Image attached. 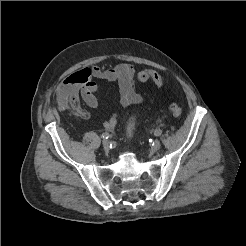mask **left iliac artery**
<instances>
[{"instance_id": "44dca946", "label": "left iliac artery", "mask_w": 246, "mask_h": 246, "mask_svg": "<svg viewBox=\"0 0 246 246\" xmlns=\"http://www.w3.org/2000/svg\"><path fill=\"white\" fill-rule=\"evenodd\" d=\"M162 134V130L161 129H156L155 131H154V135L155 136H160Z\"/></svg>"}]
</instances>
